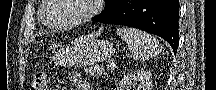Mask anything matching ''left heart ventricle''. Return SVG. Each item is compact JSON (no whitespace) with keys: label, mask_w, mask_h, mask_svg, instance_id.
<instances>
[{"label":"left heart ventricle","mask_w":216,"mask_h":90,"mask_svg":"<svg viewBox=\"0 0 216 90\" xmlns=\"http://www.w3.org/2000/svg\"><path fill=\"white\" fill-rule=\"evenodd\" d=\"M64 1L62 10L54 16V19H47L50 24L55 26L71 25L79 21L82 16L88 11V0H58Z\"/></svg>","instance_id":"1"}]
</instances>
